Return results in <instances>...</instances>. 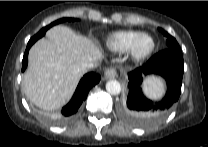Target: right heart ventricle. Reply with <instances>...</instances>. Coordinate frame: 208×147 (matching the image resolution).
I'll use <instances>...</instances> for the list:
<instances>
[{"label":"right heart ventricle","instance_id":"obj_1","mask_svg":"<svg viewBox=\"0 0 208 147\" xmlns=\"http://www.w3.org/2000/svg\"><path fill=\"white\" fill-rule=\"evenodd\" d=\"M138 30H120L109 34L105 39V44L108 49L114 52H126L132 41L140 34Z\"/></svg>","mask_w":208,"mask_h":147}]
</instances>
